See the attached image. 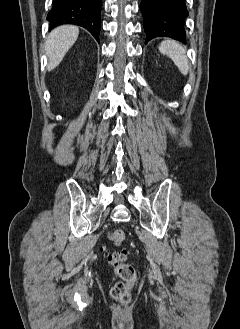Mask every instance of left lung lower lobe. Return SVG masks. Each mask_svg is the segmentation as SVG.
<instances>
[{"instance_id":"obj_1","label":"left lung lower lobe","mask_w":240,"mask_h":329,"mask_svg":"<svg viewBox=\"0 0 240 329\" xmlns=\"http://www.w3.org/2000/svg\"><path fill=\"white\" fill-rule=\"evenodd\" d=\"M146 43L155 37H170L186 42L184 28L188 11L185 0H142Z\"/></svg>"}]
</instances>
